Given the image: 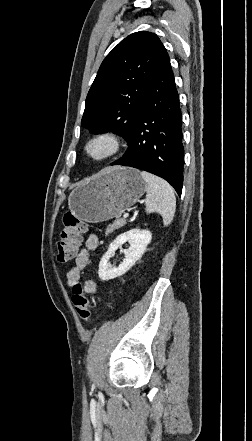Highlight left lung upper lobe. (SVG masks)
Returning <instances> with one entry per match:
<instances>
[{
  "label": "left lung upper lobe",
  "mask_w": 252,
  "mask_h": 441,
  "mask_svg": "<svg viewBox=\"0 0 252 441\" xmlns=\"http://www.w3.org/2000/svg\"><path fill=\"white\" fill-rule=\"evenodd\" d=\"M164 46L154 34L133 33L103 60L86 98L82 126L114 130L129 142Z\"/></svg>",
  "instance_id": "obj_1"
}]
</instances>
